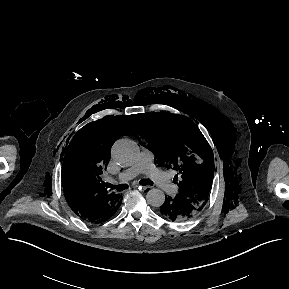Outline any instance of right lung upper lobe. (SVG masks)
I'll return each mask as SVG.
<instances>
[{"label":"right lung upper lobe","instance_id":"right-lung-upper-lobe-1","mask_svg":"<svg viewBox=\"0 0 289 289\" xmlns=\"http://www.w3.org/2000/svg\"><path fill=\"white\" fill-rule=\"evenodd\" d=\"M130 116H108L81 128L63 152L62 182L71 209L82 219L94 222L121 201L101 184L100 175L107 168L113 143L129 133Z\"/></svg>","mask_w":289,"mask_h":289}]
</instances>
